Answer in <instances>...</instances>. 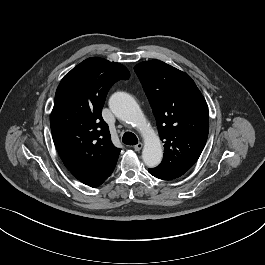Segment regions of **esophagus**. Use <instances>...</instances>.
<instances>
[{"instance_id":"obj_1","label":"esophagus","mask_w":265,"mask_h":265,"mask_svg":"<svg viewBox=\"0 0 265 265\" xmlns=\"http://www.w3.org/2000/svg\"><path fill=\"white\" fill-rule=\"evenodd\" d=\"M142 147H143V143H138V144H136L135 146H134V150L135 151H140L141 149H142Z\"/></svg>"}]
</instances>
